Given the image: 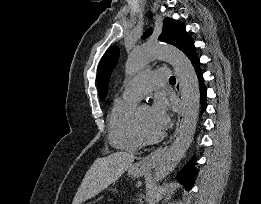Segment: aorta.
<instances>
[{"label":"aorta","instance_id":"1","mask_svg":"<svg viewBox=\"0 0 261 204\" xmlns=\"http://www.w3.org/2000/svg\"><path fill=\"white\" fill-rule=\"evenodd\" d=\"M161 58L170 63L182 88L184 119L179 134L160 159L154 171V181H162L169 175L184 157L194 137L200 103L198 77L188 57L178 48L157 43H145L134 48L128 55L126 71L134 74L151 60Z\"/></svg>","mask_w":261,"mask_h":204}]
</instances>
